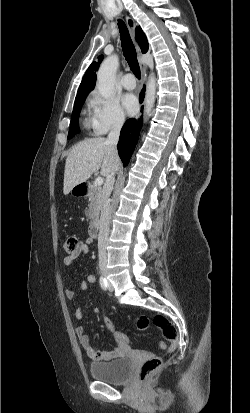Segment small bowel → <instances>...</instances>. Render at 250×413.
Here are the masks:
<instances>
[{"label": "small bowel", "mask_w": 250, "mask_h": 413, "mask_svg": "<svg viewBox=\"0 0 250 413\" xmlns=\"http://www.w3.org/2000/svg\"><path fill=\"white\" fill-rule=\"evenodd\" d=\"M91 243V239H87L85 242H79L78 251L75 254L68 255L64 258L63 263L66 267H73L75 265L76 259L84 253H87L89 250V244ZM96 278L94 275H87L86 278L81 282V288L83 290L87 289L88 284L95 283ZM65 296L68 300H72L76 296V292L72 288H67L65 290ZM75 317L78 320H81L83 317L82 308L78 307L75 310ZM105 320V319H104ZM105 324V323H104ZM110 331V330H109ZM76 336L80 342V345L88 354L89 358L94 361H109L116 357H118L122 352L126 345H123V342H119L116 340L117 346L111 351H103L96 349L90 340V337L86 334L85 328L82 325H79L75 328Z\"/></svg>", "instance_id": "1"}]
</instances>
